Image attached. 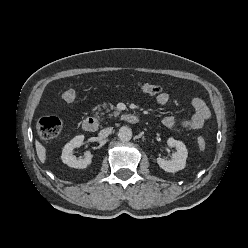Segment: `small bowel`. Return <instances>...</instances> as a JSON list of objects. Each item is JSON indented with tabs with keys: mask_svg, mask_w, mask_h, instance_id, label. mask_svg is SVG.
Instances as JSON below:
<instances>
[{
	"mask_svg": "<svg viewBox=\"0 0 248 248\" xmlns=\"http://www.w3.org/2000/svg\"><path fill=\"white\" fill-rule=\"evenodd\" d=\"M159 105H167L170 101V95L167 92H162L156 97ZM194 114L187 118H177L175 116H166L162 122L168 128H185V129H200L209 120L211 112L203 99L195 97L192 99Z\"/></svg>",
	"mask_w": 248,
	"mask_h": 248,
	"instance_id": "c3829d8e",
	"label": "small bowel"
}]
</instances>
